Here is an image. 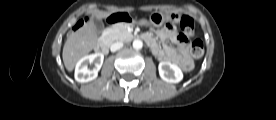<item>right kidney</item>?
Returning <instances> with one entry per match:
<instances>
[{"label":"right kidney","mask_w":276,"mask_h":120,"mask_svg":"<svg viewBox=\"0 0 276 120\" xmlns=\"http://www.w3.org/2000/svg\"><path fill=\"white\" fill-rule=\"evenodd\" d=\"M104 60L102 53H95L82 57L76 64L75 79L78 82L85 83L94 80L100 70ZM94 64V68L88 66Z\"/></svg>","instance_id":"ca27d5eb"}]
</instances>
